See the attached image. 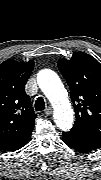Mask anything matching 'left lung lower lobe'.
<instances>
[{
	"instance_id": "1",
	"label": "left lung lower lobe",
	"mask_w": 101,
	"mask_h": 180,
	"mask_svg": "<svg viewBox=\"0 0 101 180\" xmlns=\"http://www.w3.org/2000/svg\"><path fill=\"white\" fill-rule=\"evenodd\" d=\"M63 141L80 152H91L100 146V138L84 131L70 130L62 133Z\"/></svg>"
}]
</instances>
